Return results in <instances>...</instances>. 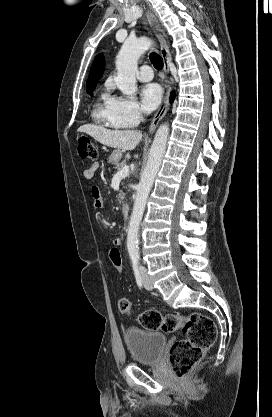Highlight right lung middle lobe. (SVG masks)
<instances>
[{
    "instance_id": "dd1d6c3e",
    "label": "right lung middle lobe",
    "mask_w": 272,
    "mask_h": 417,
    "mask_svg": "<svg viewBox=\"0 0 272 417\" xmlns=\"http://www.w3.org/2000/svg\"><path fill=\"white\" fill-rule=\"evenodd\" d=\"M94 89H87V93L88 94H90V95H92V91H93Z\"/></svg>"
}]
</instances>
